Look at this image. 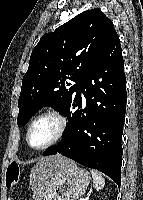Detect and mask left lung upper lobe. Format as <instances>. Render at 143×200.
<instances>
[{
	"mask_svg": "<svg viewBox=\"0 0 143 200\" xmlns=\"http://www.w3.org/2000/svg\"><path fill=\"white\" fill-rule=\"evenodd\" d=\"M117 35L99 9L80 13L54 32L44 34L31 53L22 79L17 124L24 125L43 106L70 117V105L83 73Z\"/></svg>",
	"mask_w": 143,
	"mask_h": 200,
	"instance_id": "obj_1",
	"label": "left lung upper lobe"
}]
</instances>
